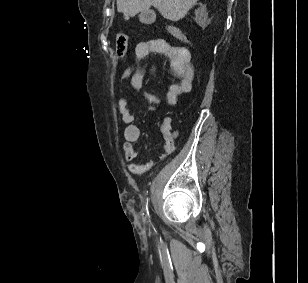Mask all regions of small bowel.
Here are the masks:
<instances>
[{
  "label": "small bowel",
  "mask_w": 308,
  "mask_h": 283,
  "mask_svg": "<svg viewBox=\"0 0 308 283\" xmlns=\"http://www.w3.org/2000/svg\"><path fill=\"white\" fill-rule=\"evenodd\" d=\"M152 54H161L170 60V66L174 74L180 78V83L172 85L165 98L164 103L167 106H174L182 95L186 94L192 86L195 71L191 63V55L188 50L174 46L162 39H148L141 41L135 48L137 58H144ZM144 80V73L141 70L126 69L119 76V82L129 81L130 86L135 89H141ZM149 101L150 109L156 111L159 109L161 101L159 98L150 93L144 94ZM118 112L123 123L126 125L124 129L123 151L126 160L129 162L128 169L134 174H142L147 172L155 164V161H149L145 164L137 162L138 153L135 143L140 138V129L134 123V115L131 113L128 101L121 97L117 103ZM163 135L165 145L160 152L159 159L165 158L172 154L175 150V138L170 131L169 125H164Z\"/></svg>",
  "instance_id": "1"
}]
</instances>
